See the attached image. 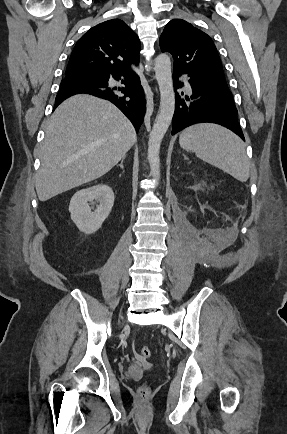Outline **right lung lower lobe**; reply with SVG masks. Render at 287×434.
<instances>
[{"mask_svg":"<svg viewBox=\"0 0 287 434\" xmlns=\"http://www.w3.org/2000/svg\"><path fill=\"white\" fill-rule=\"evenodd\" d=\"M110 79L122 81L124 87H109ZM80 93L111 101L127 116L136 131L139 130L145 112V99L139 76L132 69L104 72L98 74L97 78L63 80L56 96L54 109L66 98Z\"/></svg>","mask_w":287,"mask_h":434,"instance_id":"1","label":"right lung lower lobe"}]
</instances>
